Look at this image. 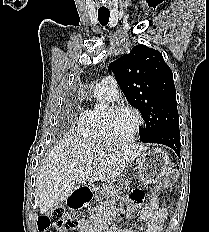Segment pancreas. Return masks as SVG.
Segmentation results:
<instances>
[{
    "instance_id": "cf45deb5",
    "label": "pancreas",
    "mask_w": 209,
    "mask_h": 232,
    "mask_svg": "<svg viewBox=\"0 0 209 232\" xmlns=\"http://www.w3.org/2000/svg\"><path fill=\"white\" fill-rule=\"evenodd\" d=\"M113 188H114V186L110 185L109 188H108V190H112Z\"/></svg>"
}]
</instances>
